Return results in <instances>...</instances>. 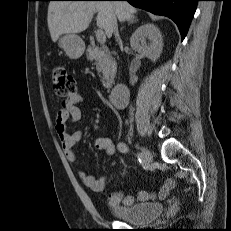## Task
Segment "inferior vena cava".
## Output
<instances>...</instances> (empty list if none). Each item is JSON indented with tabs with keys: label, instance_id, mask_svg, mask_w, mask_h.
I'll list each match as a JSON object with an SVG mask.
<instances>
[{
	"label": "inferior vena cava",
	"instance_id": "inferior-vena-cava-1",
	"mask_svg": "<svg viewBox=\"0 0 231 231\" xmlns=\"http://www.w3.org/2000/svg\"><path fill=\"white\" fill-rule=\"evenodd\" d=\"M112 32L114 33L116 38H119L116 17H113V19H112Z\"/></svg>",
	"mask_w": 231,
	"mask_h": 231
}]
</instances>
